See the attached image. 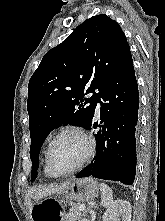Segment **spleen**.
<instances>
[{
  "label": "spleen",
  "instance_id": "obj_1",
  "mask_svg": "<svg viewBox=\"0 0 165 221\" xmlns=\"http://www.w3.org/2000/svg\"><path fill=\"white\" fill-rule=\"evenodd\" d=\"M100 191H101V205L107 208L113 203V192L111 188L104 183L100 184Z\"/></svg>",
  "mask_w": 165,
  "mask_h": 221
}]
</instances>
